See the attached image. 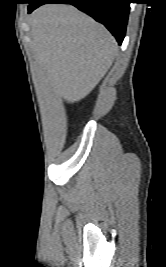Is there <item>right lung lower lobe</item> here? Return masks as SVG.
Wrapping results in <instances>:
<instances>
[{
	"label": "right lung lower lobe",
	"instance_id": "right-lung-lower-lobe-1",
	"mask_svg": "<svg viewBox=\"0 0 166 267\" xmlns=\"http://www.w3.org/2000/svg\"><path fill=\"white\" fill-rule=\"evenodd\" d=\"M46 3H67L89 14L115 36L121 45L129 15L130 0H32L28 6L31 13L37 7Z\"/></svg>",
	"mask_w": 166,
	"mask_h": 267
}]
</instances>
